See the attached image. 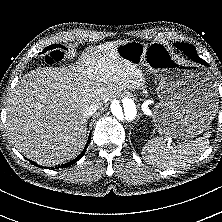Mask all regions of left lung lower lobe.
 <instances>
[{
    "instance_id": "left-lung-lower-lobe-1",
    "label": "left lung lower lobe",
    "mask_w": 222,
    "mask_h": 222,
    "mask_svg": "<svg viewBox=\"0 0 222 222\" xmlns=\"http://www.w3.org/2000/svg\"><path fill=\"white\" fill-rule=\"evenodd\" d=\"M193 61L201 63L203 65H208V63L206 61H204L203 59H201L200 57L195 56L192 53L187 54Z\"/></svg>"
}]
</instances>
